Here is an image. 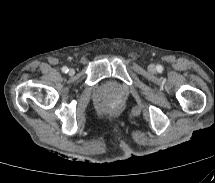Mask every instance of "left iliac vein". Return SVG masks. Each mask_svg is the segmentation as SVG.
Returning <instances> with one entry per match:
<instances>
[{"instance_id": "obj_1", "label": "left iliac vein", "mask_w": 215, "mask_h": 183, "mask_svg": "<svg viewBox=\"0 0 215 183\" xmlns=\"http://www.w3.org/2000/svg\"><path fill=\"white\" fill-rule=\"evenodd\" d=\"M149 69H150L151 71H153V70L155 69L154 65H150V66H149Z\"/></svg>"}]
</instances>
